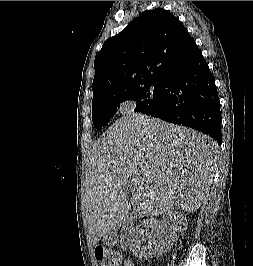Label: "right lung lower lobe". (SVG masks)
Returning a JSON list of instances; mask_svg holds the SVG:
<instances>
[{"label": "right lung lower lobe", "mask_w": 253, "mask_h": 266, "mask_svg": "<svg viewBox=\"0 0 253 266\" xmlns=\"http://www.w3.org/2000/svg\"><path fill=\"white\" fill-rule=\"evenodd\" d=\"M161 104L147 115L194 128L221 145V112L215 80L201 51L163 80Z\"/></svg>", "instance_id": "obj_1"}]
</instances>
